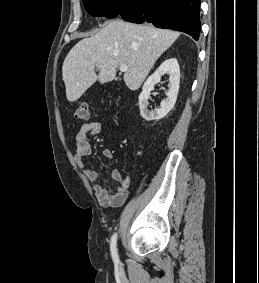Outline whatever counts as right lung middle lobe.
<instances>
[{
    "label": "right lung middle lobe",
    "mask_w": 259,
    "mask_h": 283,
    "mask_svg": "<svg viewBox=\"0 0 259 283\" xmlns=\"http://www.w3.org/2000/svg\"><path fill=\"white\" fill-rule=\"evenodd\" d=\"M118 0H83L85 9L92 16L115 17L116 2Z\"/></svg>",
    "instance_id": "dd1d6c3e"
}]
</instances>
